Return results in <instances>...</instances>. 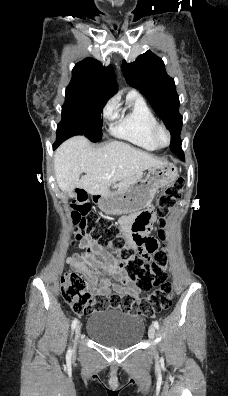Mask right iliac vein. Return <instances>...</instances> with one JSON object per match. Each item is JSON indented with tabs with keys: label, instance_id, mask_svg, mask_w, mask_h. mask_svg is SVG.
Returning a JSON list of instances; mask_svg holds the SVG:
<instances>
[{
	"label": "right iliac vein",
	"instance_id": "obj_1",
	"mask_svg": "<svg viewBox=\"0 0 228 396\" xmlns=\"http://www.w3.org/2000/svg\"><path fill=\"white\" fill-rule=\"evenodd\" d=\"M81 333V325H77L76 330H75V342H77L79 336Z\"/></svg>",
	"mask_w": 228,
	"mask_h": 396
}]
</instances>
